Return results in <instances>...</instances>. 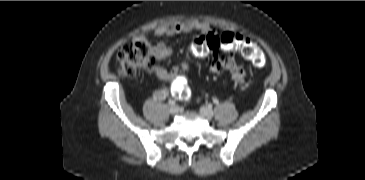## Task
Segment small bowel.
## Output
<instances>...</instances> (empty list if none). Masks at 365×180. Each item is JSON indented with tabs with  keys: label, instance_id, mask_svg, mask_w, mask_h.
<instances>
[{
	"label": "small bowel",
	"instance_id": "c3829d8e",
	"mask_svg": "<svg viewBox=\"0 0 365 180\" xmlns=\"http://www.w3.org/2000/svg\"><path fill=\"white\" fill-rule=\"evenodd\" d=\"M191 31H198L202 36L195 39V42H199L208 35H213L215 37L220 36L223 32L216 31L210 28L207 23L197 22V21H187L181 23H175L170 26L158 27L154 35L161 40L155 45L150 46L151 53L157 60L168 59L173 51L171 46L166 42V38L178 35L181 33H188ZM138 41L145 44L148 43V39L144 36L139 37ZM211 63L210 71L214 74H219L221 72H227L230 79L237 85H242L245 80V69L243 65L236 61L232 56V53H228L226 57L217 54V51L210 50ZM183 65H172L170 67H155L151 70V74L163 81L172 82L173 84L180 79ZM168 96L167 89H160L155 93V97L158 100H163Z\"/></svg>",
	"mask_w": 365,
	"mask_h": 180
}]
</instances>
